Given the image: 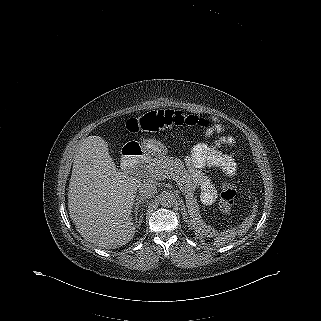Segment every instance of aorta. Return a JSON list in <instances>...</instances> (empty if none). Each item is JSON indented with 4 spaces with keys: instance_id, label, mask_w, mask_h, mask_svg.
Listing matches in <instances>:
<instances>
[{
    "instance_id": "1",
    "label": "aorta",
    "mask_w": 321,
    "mask_h": 321,
    "mask_svg": "<svg viewBox=\"0 0 321 321\" xmlns=\"http://www.w3.org/2000/svg\"><path fill=\"white\" fill-rule=\"evenodd\" d=\"M160 204L163 207L169 208L172 207L176 202V197L171 191H164L159 196Z\"/></svg>"
}]
</instances>
